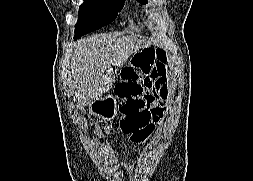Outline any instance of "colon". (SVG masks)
I'll return each instance as SVG.
<instances>
[{
  "label": "colon",
  "instance_id": "colon-1",
  "mask_svg": "<svg viewBox=\"0 0 253 181\" xmlns=\"http://www.w3.org/2000/svg\"><path fill=\"white\" fill-rule=\"evenodd\" d=\"M164 57L161 50L142 48L132 58V64L122 70V78L116 85V96L121 101V128L135 143L147 140L159 119V99L148 96L144 80L150 61H162Z\"/></svg>",
  "mask_w": 253,
  "mask_h": 181
}]
</instances>
